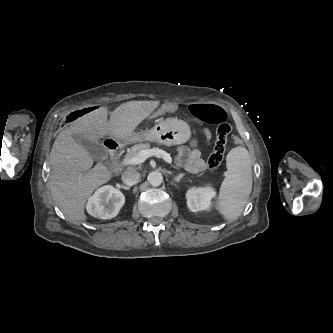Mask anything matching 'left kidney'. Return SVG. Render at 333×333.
Returning <instances> with one entry per match:
<instances>
[{
	"mask_svg": "<svg viewBox=\"0 0 333 333\" xmlns=\"http://www.w3.org/2000/svg\"><path fill=\"white\" fill-rule=\"evenodd\" d=\"M215 194V189L210 186L192 188L186 195L187 205L193 212L207 210L210 205V201L213 197H215Z\"/></svg>",
	"mask_w": 333,
	"mask_h": 333,
	"instance_id": "left-kidney-1",
	"label": "left kidney"
}]
</instances>
